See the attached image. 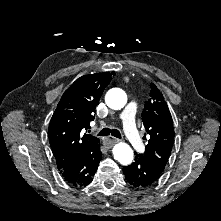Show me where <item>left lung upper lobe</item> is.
Listing matches in <instances>:
<instances>
[{
    "mask_svg": "<svg viewBox=\"0 0 221 221\" xmlns=\"http://www.w3.org/2000/svg\"><path fill=\"white\" fill-rule=\"evenodd\" d=\"M142 120L146 134L150 136L142 155L164 170L174 143L173 120L162 93L153 83L150 97L144 104Z\"/></svg>",
    "mask_w": 221,
    "mask_h": 221,
    "instance_id": "left-lung-upper-lobe-1",
    "label": "left lung upper lobe"
}]
</instances>
